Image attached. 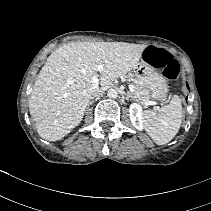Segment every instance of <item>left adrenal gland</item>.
<instances>
[{
  "mask_svg": "<svg viewBox=\"0 0 211 211\" xmlns=\"http://www.w3.org/2000/svg\"><path fill=\"white\" fill-rule=\"evenodd\" d=\"M126 99H127V100L130 99V100L136 101V98H135L131 93H127V94H126Z\"/></svg>",
  "mask_w": 211,
  "mask_h": 211,
  "instance_id": "left-adrenal-gland-1",
  "label": "left adrenal gland"
}]
</instances>
